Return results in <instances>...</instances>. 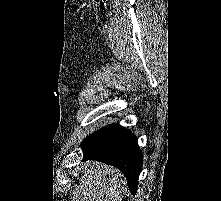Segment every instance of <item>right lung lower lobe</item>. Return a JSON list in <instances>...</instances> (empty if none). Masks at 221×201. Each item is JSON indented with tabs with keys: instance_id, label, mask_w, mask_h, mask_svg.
I'll use <instances>...</instances> for the list:
<instances>
[{
	"instance_id": "1",
	"label": "right lung lower lobe",
	"mask_w": 221,
	"mask_h": 201,
	"mask_svg": "<svg viewBox=\"0 0 221 201\" xmlns=\"http://www.w3.org/2000/svg\"><path fill=\"white\" fill-rule=\"evenodd\" d=\"M83 160H98L117 167L126 176L135 195L142 169L143 154L137 139L128 129L112 124L94 132L82 143Z\"/></svg>"
}]
</instances>
